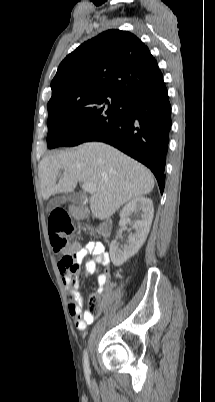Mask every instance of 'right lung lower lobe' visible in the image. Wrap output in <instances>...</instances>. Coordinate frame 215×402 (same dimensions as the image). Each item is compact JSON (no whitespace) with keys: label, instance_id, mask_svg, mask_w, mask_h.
<instances>
[{"label":"right lung lower lobe","instance_id":"98d812e1","mask_svg":"<svg viewBox=\"0 0 215 402\" xmlns=\"http://www.w3.org/2000/svg\"><path fill=\"white\" fill-rule=\"evenodd\" d=\"M171 125V105L164 86L128 99L126 111L116 122L84 142L108 143L143 163L153 172L163 193Z\"/></svg>","mask_w":215,"mask_h":402}]
</instances>
